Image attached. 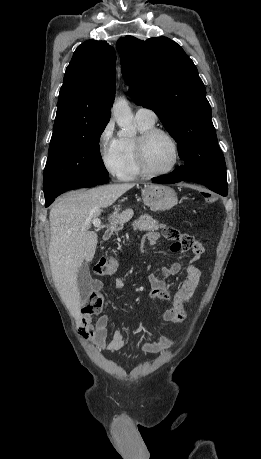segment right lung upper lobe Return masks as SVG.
Masks as SVG:
<instances>
[{
  "label": "right lung upper lobe",
  "instance_id": "cb5924a9",
  "mask_svg": "<svg viewBox=\"0 0 261 459\" xmlns=\"http://www.w3.org/2000/svg\"><path fill=\"white\" fill-rule=\"evenodd\" d=\"M116 53L106 41L88 40L74 52L58 97L52 137L108 122L115 97Z\"/></svg>",
  "mask_w": 261,
  "mask_h": 459
}]
</instances>
